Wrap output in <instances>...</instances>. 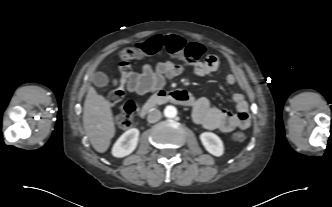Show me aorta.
<instances>
[{"label":"aorta","mask_w":332,"mask_h":207,"mask_svg":"<svg viewBox=\"0 0 332 207\" xmlns=\"http://www.w3.org/2000/svg\"><path fill=\"white\" fill-rule=\"evenodd\" d=\"M164 115L167 118H174L177 115V109L174 106H166L164 109Z\"/></svg>","instance_id":"obj_1"}]
</instances>
